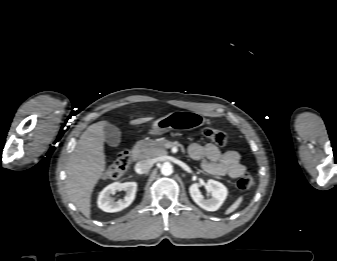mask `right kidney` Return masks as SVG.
Wrapping results in <instances>:
<instances>
[{"label":"right kidney","instance_id":"1","mask_svg":"<svg viewBox=\"0 0 337 261\" xmlns=\"http://www.w3.org/2000/svg\"><path fill=\"white\" fill-rule=\"evenodd\" d=\"M126 191V196L124 199L114 201L111 198L116 191ZM137 191L136 182H125V183H112L105 187L98 196V207L105 212H118L127 208L135 199V194Z\"/></svg>","mask_w":337,"mask_h":261}]
</instances>
